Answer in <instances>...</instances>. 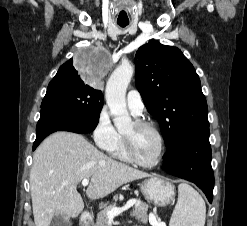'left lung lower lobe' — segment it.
Listing matches in <instances>:
<instances>
[{"instance_id": "obj_1", "label": "left lung lower lobe", "mask_w": 247, "mask_h": 226, "mask_svg": "<svg viewBox=\"0 0 247 226\" xmlns=\"http://www.w3.org/2000/svg\"><path fill=\"white\" fill-rule=\"evenodd\" d=\"M163 170L195 183L212 202L214 174L211 167L209 128L195 130L167 149Z\"/></svg>"}]
</instances>
